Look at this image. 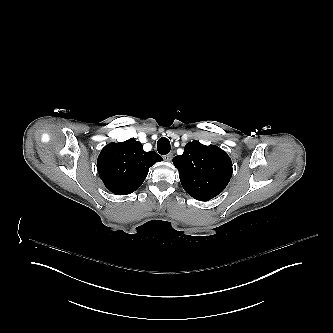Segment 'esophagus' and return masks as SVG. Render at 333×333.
<instances>
[{"label": "esophagus", "mask_w": 333, "mask_h": 333, "mask_svg": "<svg viewBox=\"0 0 333 333\" xmlns=\"http://www.w3.org/2000/svg\"><path fill=\"white\" fill-rule=\"evenodd\" d=\"M172 157H173V154L169 153V154L165 155L163 158L165 161H170L172 159Z\"/></svg>", "instance_id": "obj_1"}]
</instances>
